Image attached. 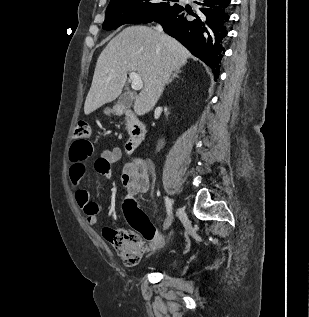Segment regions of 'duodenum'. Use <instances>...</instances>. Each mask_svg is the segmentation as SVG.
<instances>
[{"instance_id": "duodenum-1", "label": "duodenum", "mask_w": 309, "mask_h": 317, "mask_svg": "<svg viewBox=\"0 0 309 317\" xmlns=\"http://www.w3.org/2000/svg\"><path fill=\"white\" fill-rule=\"evenodd\" d=\"M118 113L125 116L128 120L129 138L126 143V149L128 152H133L139 147L145 137V125L129 109L119 108Z\"/></svg>"}]
</instances>
